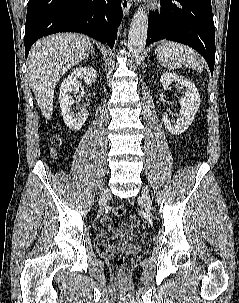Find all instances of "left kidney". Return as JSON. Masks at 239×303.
Instances as JSON below:
<instances>
[{"mask_svg": "<svg viewBox=\"0 0 239 303\" xmlns=\"http://www.w3.org/2000/svg\"><path fill=\"white\" fill-rule=\"evenodd\" d=\"M160 81L164 90H167L173 82L186 88L185 95L179 100L181 109L179 115H177V120H170L166 113L162 116L166 130L171 134L179 135L188 129L194 120L201 103L200 95L190 80L176 73H164Z\"/></svg>", "mask_w": 239, "mask_h": 303, "instance_id": "5707ae66", "label": "left kidney"}]
</instances>
